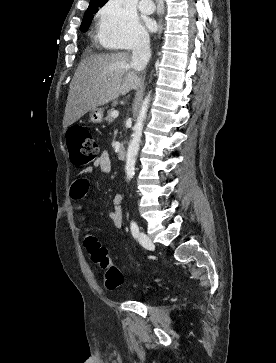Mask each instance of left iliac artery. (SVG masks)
Instances as JSON below:
<instances>
[{"mask_svg": "<svg viewBox=\"0 0 276 363\" xmlns=\"http://www.w3.org/2000/svg\"><path fill=\"white\" fill-rule=\"evenodd\" d=\"M130 229H131V233L132 235L137 238L138 237V233H139V228L138 225L135 221H131L130 223Z\"/></svg>", "mask_w": 276, "mask_h": 363, "instance_id": "obj_1", "label": "left iliac artery"}]
</instances>
